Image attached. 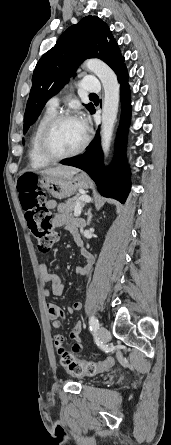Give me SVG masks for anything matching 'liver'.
Listing matches in <instances>:
<instances>
[{
  "label": "liver",
  "instance_id": "6515ba94",
  "mask_svg": "<svg viewBox=\"0 0 171 445\" xmlns=\"http://www.w3.org/2000/svg\"><path fill=\"white\" fill-rule=\"evenodd\" d=\"M78 169L69 166H58L40 171L41 175L64 176L71 177L78 173Z\"/></svg>",
  "mask_w": 171,
  "mask_h": 445
}]
</instances>
